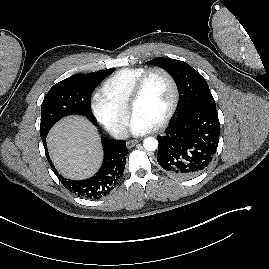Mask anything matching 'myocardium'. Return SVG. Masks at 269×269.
Wrapping results in <instances>:
<instances>
[{
  "mask_svg": "<svg viewBox=\"0 0 269 269\" xmlns=\"http://www.w3.org/2000/svg\"><path fill=\"white\" fill-rule=\"evenodd\" d=\"M154 73H161L164 76H166L171 83L172 91H173L172 102L170 104V107H169L167 113L165 114L163 119L158 124H156L154 126V129H161L164 126H166L169 123V121L171 120V118L173 117V115L178 107L179 100H180V90H179L178 82H177L176 78L174 77V75L170 71H168L167 69H165L163 67H153V68L146 70L140 76V78L137 80V82L133 88V91L131 93V96H130L128 104H127V109L131 114H133V109H134L135 105L140 100L149 78Z\"/></svg>",
  "mask_w": 269,
  "mask_h": 269,
  "instance_id": "obj_1",
  "label": "myocardium"
}]
</instances>
